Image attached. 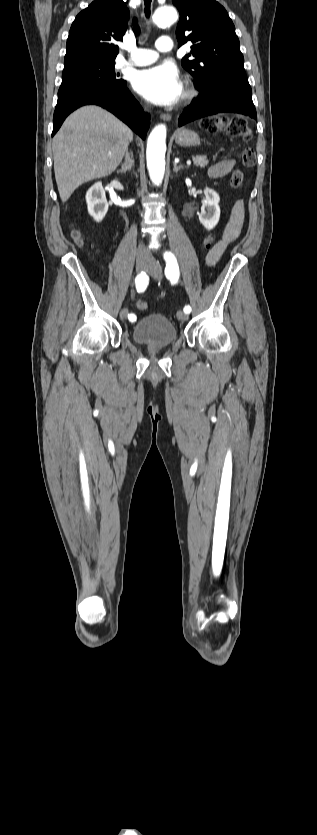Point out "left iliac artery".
<instances>
[{
  "mask_svg": "<svg viewBox=\"0 0 317 835\" xmlns=\"http://www.w3.org/2000/svg\"><path fill=\"white\" fill-rule=\"evenodd\" d=\"M163 257H164V260L166 262L165 275H166L167 279L170 280L171 283L175 284V283H177V281L179 279V274H180L177 260L174 256V254L171 253L170 251H166L164 253ZM191 310L192 309L189 305H186L183 308V311L187 314L190 313Z\"/></svg>",
  "mask_w": 317,
  "mask_h": 835,
  "instance_id": "1",
  "label": "left iliac artery"
}]
</instances>
